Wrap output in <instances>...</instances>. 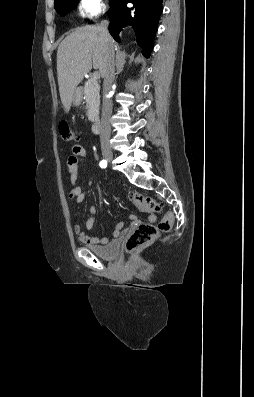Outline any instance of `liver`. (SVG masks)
I'll return each instance as SVG.
<instances>
[{
    "label": "liver",
    "instance_id": "1",
    "mask_svg": "<svg viewBox=\"0 0 254 397\" xmlns=\"http://www.w3.org/2000/svg\"><path fill=\"white\" fill-rule=\"evenodd\" d=\"M112 46L114 41L111 38ZM107 46L100 26L87 25L68 35L57 50V77L64 111L68 113L73 92L92 67L104 75Z\"/></svg>",
    "mask_w": 254,
    "mask_h": 397
}]
</instances>
